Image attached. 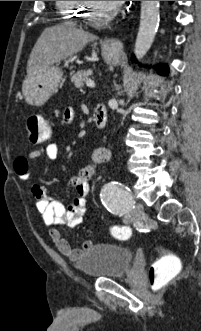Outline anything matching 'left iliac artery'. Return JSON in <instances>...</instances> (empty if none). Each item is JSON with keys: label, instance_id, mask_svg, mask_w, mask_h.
I'll return each mask as SVG.
<instances>
[{"label": "left iliac artery", "instance_id": "left-iliac-artery-1", "mask_svg": "<svg viewBox=\"0 0 201 331\" xmlns=\"http://www.w3.org/2000/svg\"><path fill=\"white\" fill-rule=\"evenodd\" d=\"M100 197L106 209L117 216L127 215L134 208L135 202L130 189L119 182L106 184Z\"/></svg>", "mask_w": 201, "mask_h": 331}]
</instances>
